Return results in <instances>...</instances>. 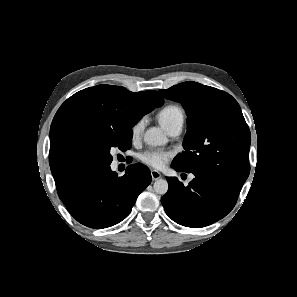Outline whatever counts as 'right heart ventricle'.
I'll list each match as a JSON object with an SVG mask.
<instances>
[{
	"instance_id": "e07e8e85",
	"label": "right heart ventricle",
	"mask_w": 297,
	"mask_h": 297,
	"mask_svg": "<svg viewBox=\"0 0 297 297\" xmlns=\"http://www.w3.org/2000/svg\"><path fill=\"white\" fill-rule=\"evenodd\" d=\"M157 118L162 127L168 132L172 127L183 124L184 113L180 106L169 104L159 111Z\"/></svg>"
}]
</instances>
